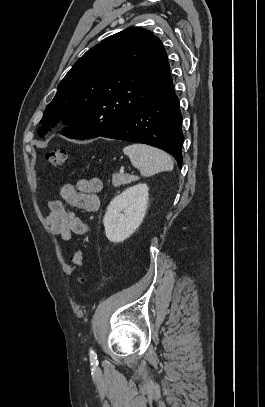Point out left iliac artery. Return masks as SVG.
Here are the masks:
<instances>
[{
  "instance_id": "obj_1",
  "label": "left iliac artery",
  "mask_w": 265,
  "mask_h": 407,
  "mask_svg": "<svg viewBox=\"0 0 265 407\" xmlns=\"http://www.w3.org/2000/svg\"><path fill=\"white\" fill-rule=\"evenodd\" d=\"M89 356H90V360L92 362H95L97 360L96 353L94 352V350L92 348L89 351Z\"/></svg>"
}]
</instances>
